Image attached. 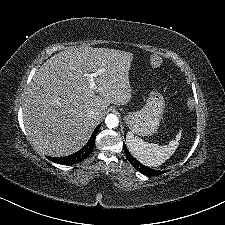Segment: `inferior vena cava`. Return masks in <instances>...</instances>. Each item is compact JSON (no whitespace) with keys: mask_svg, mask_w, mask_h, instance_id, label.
<instances>
[{"mask_svg":"<svg viewBox=\"0 0 225 225\" xmlns=\"http://www.w3.org/2000/svg\"><path fill=\"white\" fill-rule=\"evenodd\" d=\"M97 115H98V112H96V111H91L89 113V116L92 117V118H96Z\"/></svg>","mask_w":225,"mask_h":225,"instance_id":"inferior-vena-cava-1","label":"inferior vena cava"}]
</instances>
